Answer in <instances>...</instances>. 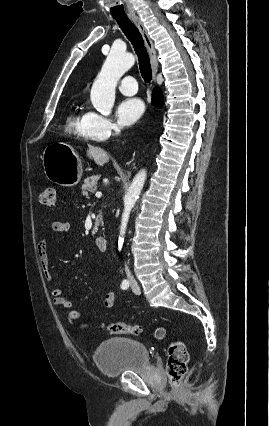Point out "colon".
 <instances>
[{
  "label": "colon",
  "instance_id": "5ec220e1",
  "mask_svg": "<svg viewBox=\"0 0 269 426\" xmlns=\"http://www.w3.org/2000/svg\"><path fill=\"white\" fill-rule=\"evenodd\" d=\"M40 202L48 207L56 205V193L52 187H46L41 191ZM74 320L79 318L77 312H73ZM100 328L111 334H132L139 335L143 329L140 325H132L123 322L102 323ZM154 337L158 340H164L168 337V331L165 327H157L154 331ZM189 355L185 344L177 339L171 340L167 350V375L168 383L172 389H176L181 379L187 373Z\"/></svg>",
  "mask_w": 269,
  "mask_h": 426
}]
</instances>
